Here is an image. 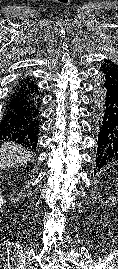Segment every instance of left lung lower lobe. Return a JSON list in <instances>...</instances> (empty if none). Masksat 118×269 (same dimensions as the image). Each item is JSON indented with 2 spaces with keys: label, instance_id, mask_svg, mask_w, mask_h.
<instances>
[{
  "label": "left lung lower lobe",
  "instance_id": "1",
  "mask_svg": "<svg viewBox=\"0 0 118 269\" xmlns=\"http://www.w3.org/2000/svg\"><path fill=\"white\" fill-rule=\"evenodd\" d=\"M102 88L103 103L99 111L102 125L96 155L97 170L109 162L118 160V93L103 86Z\"/></svg>",
  "mask_w": 118,
  "mask_h": 269
}]
</instances>
